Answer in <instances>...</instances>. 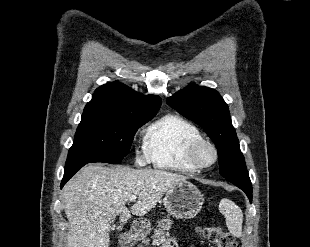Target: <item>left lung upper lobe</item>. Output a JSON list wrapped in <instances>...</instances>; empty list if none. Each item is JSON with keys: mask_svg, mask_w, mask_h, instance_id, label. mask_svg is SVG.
I'll use <instances>...</instances> for the list:
<instances>
[{"mask_svg": "<svg viewBox=\"0 0 310 247\" xmlns=\"http://www.w3.org/2000/svg\"><path fill=\"white\" fill-rule=\"evenodd\" d=\"M166 102L206 131L218 150L220 174L224 178L248 174L228 105L217 91L190 84Z\"/></svg>", "mask_w": 310, "mask_h": 247, "instance_id": "1", "label": "left lung upper lobe"}]
</instances>
